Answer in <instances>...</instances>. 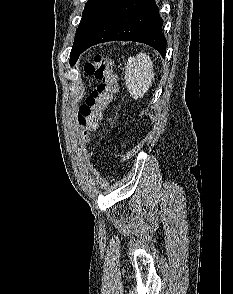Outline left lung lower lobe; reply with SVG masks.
Here are the masks:
<instances>
[{
    "instance_id": "obj_1",
    "label": "left lung lower lobe",
    "mask_w": 233,
    "mask_h": 294,
    "mask_svg": "<svg viewBox=\"0 0 233 294\" xmlns=\"http://www.w3.org/2000/svg\"><path fill=\"white\" fill-rule=\"evenodd\" d=\"M162 25L154 0H112L84 41L81 53L102 42L121 40L145 43L164 58Z\"/></svg>"
}]
</instances>
